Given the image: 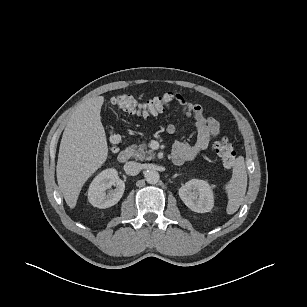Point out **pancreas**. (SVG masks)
Returning a JSON list of instances; mask_svg holds the SVG:
<instances>
[{"mask_svg":"<svg viewBox=\"0 0 307 307\" xmlns=\"http://www.w3.org/2000/svg\"><path fill=\"white\" fill-rule=\"evenodd\" d=\"M132 151V154L136 160H152L155 156L152 150H147V145L145 143L140 145H132L129 148Z\"/></svg>","mask_w":307,"mask_h":307,"instance_id":"pancreas-1","label":"pancreas"}]
</instances>
